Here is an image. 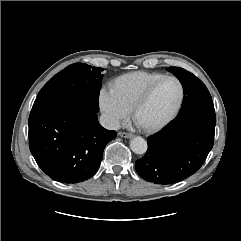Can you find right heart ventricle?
Here are the masks:
<instances>
[{"label":"right heart ventricle","instance_id":"right-heart-ventricle-1","mask_svg":"<svg viewBox=\"0 0 241 241\" xmlns=\"http://www.w3.org/2000/svg\"><path fill=\"white\" fill-rule=\"evenodd\" d=\"M163 76L165 75L160 72L135 71L115 78L111 83V89L119 100L131 109L145 89Z\"/></svg>","mask_w":241,"mask_h":241}]
</instances>
